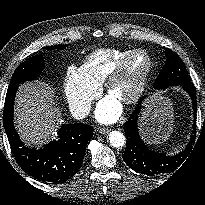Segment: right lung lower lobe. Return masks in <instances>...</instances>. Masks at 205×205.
<instances>
[{
  "instance_id": "obj_1",
  "label": "right lung lower lobe",
  "mask_w": 205,
  "mask_h": 205,
  "mask_svg": "<svg viewBox=\"0 0 205 205\" xmlns=\"http://www.w3.org/2000/svg\"><path fill=\"white\" fill-rule=\"evenodd\" d=\"M17 86L8 88L3 125L14 157L20 167L33 178L51 184L64 183L81 168L93 128L87 124H62L57 140L42 149L25 147L13 124V104Z\"/></svg>"
}]
</instances>
